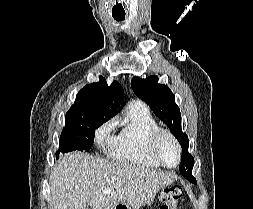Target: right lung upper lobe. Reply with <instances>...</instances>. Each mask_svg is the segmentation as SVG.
<instances>
[{
  "label": "right lung upper lobe",
  "instance_id": "right-lung-upper-lobe-1",
  "mask_svg": "<svg viewBox=\"0 0 253 209\" xmlns=\"http://www.w3.org/2000/svg\"><path fill=\"white\" fill-rule=\"evenodd\" d=\"M124 96L123 89L118 81L110 86L100 76V81L87 84L77 94L76 100L65 116V121L80 118L86 115L98 114L112 118L118 111Z\"/></svg>",
  "mask_w": 253,
  "mask_h": 209
}]
</instances>
